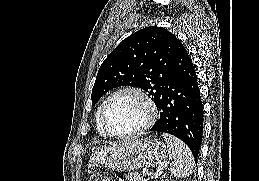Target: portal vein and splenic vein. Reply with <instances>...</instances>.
<instances>
[{
	"instance_id": "obj_1",
	"label": "portal vein and splenic vein",
	"mask_w": 259,
	"mask_h": 181,
	"mask_svg": "<svg viewBox=\"0 0 259 181\" xmlns=\"http://www.w3.org/2000/svg\"><path fill=\"white\" fill-rule=\"evenodd\" d=\"M142 174H143L144 176H150V174L148 173V170H147V169H143V170H142Z\"/></svg>"
}]
</instances>
